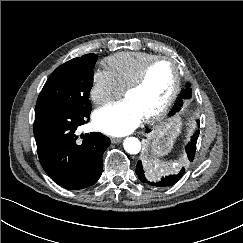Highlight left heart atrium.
I'll return each instance as SVG.
<instances>
[{
    "label": "left heart atrium",
    "mask_w": 243,
    "mask_h": 243,
    "mask_svg": "<svg viewBox=\"0 0 243 243\" xmlns=\"http://www.w3.org/2000/svg\"><path fill=\"white\" fill-rule=\"evenodd\" d=\"M144 117L142 111L125 98L97 109L93 115V123L101 132L122 136L138 127Z\"/></svg>",
    "instance_id": "1"
}]
</instances>
